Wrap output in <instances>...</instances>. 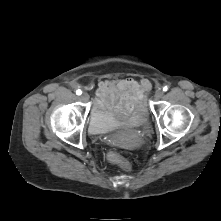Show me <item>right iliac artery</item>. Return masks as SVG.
I'll return each mask as SVG.
<instances>
[{"label": "right iliac artery", "mask_w": 221, "mask_h": 221, "mask_svg": "<svg viewBox=\"0 0 221 221\" xmlns=\"http://www.w3.org/2000/svg\"><path fill=\"white\" fill-rule=\"evenodd\" d=\"M76 94L77 95H81L82 94V91L80 89L76 90Z\"/></svg>", "instance_id": "right-iliac-artery-1"}]
</instances>
